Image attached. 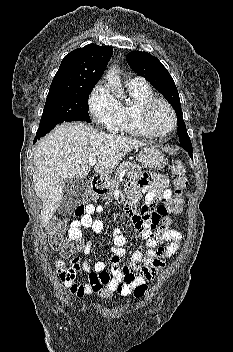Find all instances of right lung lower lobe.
Wrapping results in <instances>:
<instances>
[{"instance_id":"98d812e1","label":"right lung lower lobe","mask_w":233,"mask_h":352,"mask_svg":"<svg viewBox=\"0 0 233 352\" xmlns=\"http://www.w3.org/2000/svg\"><path fill=\"white\" fill-rule=\"evenodd\" d=\"M55 127V126H54ZM54 127L49 128L47 130L41 131V132H37L35 139H34V143L39 140L41 137H43L44 135H46L48 132H50Z\"/></svg>"}]
</instances>
